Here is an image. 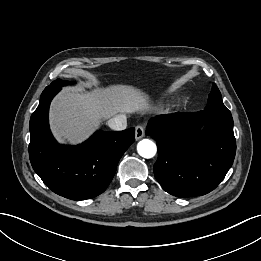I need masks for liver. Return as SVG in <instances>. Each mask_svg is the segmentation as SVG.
<instances>
[{"instance_id":"1","label":"liver","mask_w":261,"mask_h":261,"mask_svg":"<svg viewBox=\"0 0 261 261\" xmlns=\"http://www.w3.org/2000/svg\"><path fill=\"white\" fill-rule=\"evenodd\" d=\"M150 109L147 96L132 86L96 87L90 92L66 88L52 103L50 126L57 139L77 144L88 138L103 119Z\"/></svg>"}]
</instances>
